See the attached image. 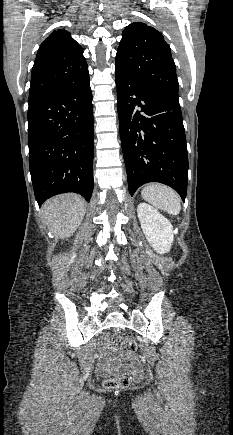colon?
Wrapping results in <instances>:
<instances>
[{
    "mask_svg": "<svg viewBox=\"0 0 233 435\" xmlns=\"http://www.w3.org/2000/svg\"><path fill=\"white\" fill-rule=\"evenodd\" d=\"M113 346L120 348L122 351L131 353L135 350L136 345L134 340L129 336L116 337L113 340ZM131 376L129 374H121L113 378L106 379L104 386L109 389H125L131 383Z\"/></svg>",
    "mask_w": 233,
    "mask_h": 435,
    "instance_id": "5ec220e1",
    "label": "colon"
}]
</instances>
